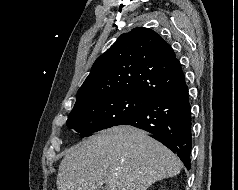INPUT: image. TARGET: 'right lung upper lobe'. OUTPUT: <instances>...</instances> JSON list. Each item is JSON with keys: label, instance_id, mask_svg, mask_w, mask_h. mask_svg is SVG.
<instances>
[{"label": "right lung upper lobe", "instance_id": "cb5924a9", "mask_svg": "<svg viewBox=\"0 0 238 190\" xmlns=\"http://www.w3.org/2000/svg\"><path fill=\"white\" fill-rule=\"evenodd\" d=\"M183 76L173 49L161 36L149 28H134L97 58L75 105L115 94L153 100Z\"/></svg>", "mask_w": 238, "mask_h": 190}]
</instances>
